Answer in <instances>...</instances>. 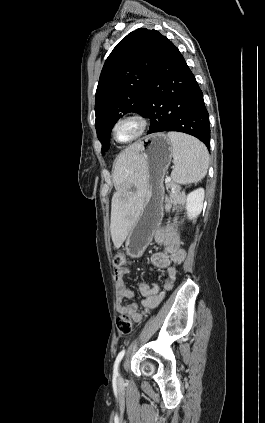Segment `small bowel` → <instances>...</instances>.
I'll list each match as a JSON object with an SVG mask.
<instances>
[{
	"label": "small bowel",
	"mask_w": 265,
	"mask_h": 423,
	"mask_svg": "<svg viewBox=\"0 0 265 423\" xmlns=\"http://www.w3.org/2000/svg\"><path fill=\"white\" fill-rule=\"evenodd\" d=\"M153 239L156 244L163 246L164 249L154 253L151 256V262L155 268L165 270L166 275L162 282V290L156 283L152 285L147 283L139 284L142 310L139 309L136 303L125 301L135 296L134 292L125 283V278L130 272L129 268L123 265L117 267L115 272L118 294L116 310L119 314H127L134 323L141 322L143 316L163 300L165 292L172 289L176 274L172 264L182 263L186 256V251L181 247L179 237L171 225L157 229Z\"/></svg>",
	"instance_id": "small-bowel-1"
}]
</instances>
